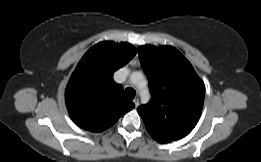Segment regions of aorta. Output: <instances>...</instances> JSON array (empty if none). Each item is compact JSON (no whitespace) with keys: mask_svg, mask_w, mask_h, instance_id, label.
Listing matches in <instances>:
<instances>
[{"mask_svg":"<svg viewBox=\"0 0 261 162\" xmlns=\"http://www.w3.org/2000/svg\"><path fill=\"white\" fill-rule=\"evenodd\" d=\"M131 79H132L133 82H135V81L144 82V77H143L142 73H140V72H133ZM142 93L147 94V91L142 90Z\"/></svg>","mask_w":261,"mask_h":162,"instance_id":"obj_1","label":"aorta"}]
</instances>
